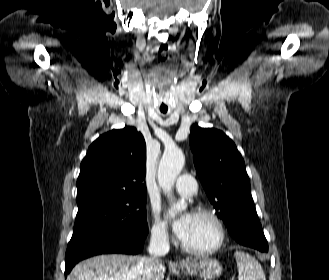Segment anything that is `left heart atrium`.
Listing matches in <instances>:
<instances>
[{
    "mask_svg": "<svg viewBox=\"0 0 329 280\" xmlns=\"http://www.w3.org/2000/svg\"><path fill=\"white\" fill-rule=\"evenodd\" d=\"M193 214L186 212L172 222L173 229L181 240L186 236Z\"/></svg>",
    "mask_w": 329,
    "mask_h": 280,
    "instance_id": "1",
    "label": "left heart atrium"
}]
</instances>
